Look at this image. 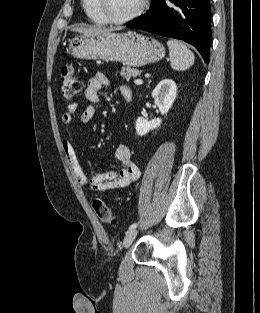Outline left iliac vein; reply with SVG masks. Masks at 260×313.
I'll list each match as a JSON object with an SVG mask.
<instances>
[{
  "label": "left iliac vein",
  "instance_id": "left-iliac-vein-1",
  "mask_svg": "<svg viewBox=\"0 0 260 313\" xmlns=\"http://www.w3.org/2000/svg\"><path fill=\"white\" fill-rule=\"evenodd\" d=\"M136 235H137L136 228L129 230L125 235V238L123 241V246L125 248L129 247L132 244V242L134 241V239L136 238Z\"/></svg>",
  "mask_w": 260,
  "mask_h": 313
}]
</instances>
